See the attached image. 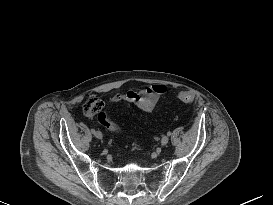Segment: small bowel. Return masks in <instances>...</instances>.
<instances>
[{"label":"small bowel","instance_id":"1","mask_svg":"<svg viewBox=\"0 0 273 205\" xmlns=\"http://www.w3.org/2000/svg\"><path fill=\"white\" fill-rule=\"evenodd\" d=\"M166 92L167 87L165 85L154 84L142 91L129 90L124 93H117L111 98V103L130 102L143 112L149 113Z\"/></svg>","mask_w":273,"mask_h":205}]
</instances>
